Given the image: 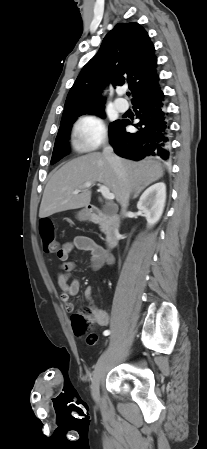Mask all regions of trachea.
<instances>
[{"mask_svg":"<svg viewBox=\"0 0 207 449\" xmlns=\"http://www.w3.org/2000/svg\"><path fill=\"white\" fill-rule=\"evenodd\" d=\"M127 95L130 96V92H127Z\"/></svg>","mask_w":207,"mask_h":449,"instance_id":"trachea-1","label":"trachea"}]
</instances>
